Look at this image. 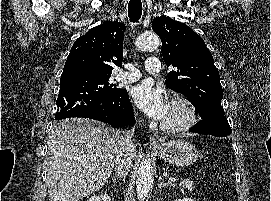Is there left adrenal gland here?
<instances>
[{"instance_id": "obj_1", "label": "left adrenal gland", "mask_w": 271, "mask_h": 201, "mask_svg": "<svg viewBox=\"0 0 271 201\" xmlns=\"http://www.w3.org/2000/svg\"><path fill=\"white\" fill-rule=\"evenodd\" d=\"M168 185H171L170 183H165L163 180H162V177H159V184H158V189H161V188H164Z\"/></svg>"}]
</instances>
